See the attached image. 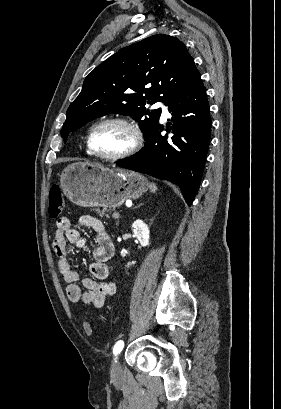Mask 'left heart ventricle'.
Returning <instances> with one entry per match:
<instances>
[{
	"label": "left heart ventricle",
	"mask_w": 281,
	"mask_h": 409,
	"mask_svg": "<svg viewBox=\"0 0 281 409\" xmlns=\"http://www.w3.org/2000/svg\"><path fill=\"white\" fill-rule=\"evenodd\" d=\"M132 142V135L121 125H107L100 128L94 137L95 150L103 155H114L126 149Z\"/></svg>",
	"instance_id": "obj_1"
}]
</instances>
